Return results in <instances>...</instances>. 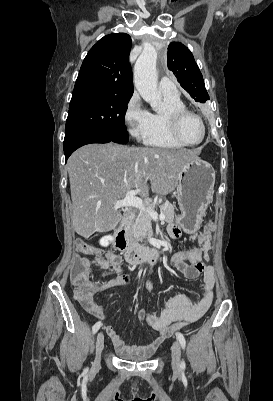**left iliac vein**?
I'll list each match as a JSON object with an SVG mask.
<instances>
[{"instance_id":"left-iliac-vein-1","label":"left iliac vein","mask_w":273,"mask_h":401,"mask_svg":"<svg viewBox=\"0 0 273 401\" xmlns=\"http://www.w3.org/2000/svg\"><path fill=\"white\" fill-rule=\"evenodd\" d=\"M181 352L178 341H174L172 345V369L173 372L179 374L181 368Z\"/></svg>"}]
</instances>
